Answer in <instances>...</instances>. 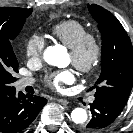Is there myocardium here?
<instances>
[{
	"label": "myocardium",
	"instance_id": "myocardium-1",
	"mask_svg": "<svg viewBox=\"0 0 133 133\" xmlns=\"http://www.w3.org/2000/svg\"><path fill=\"white\" fill-rule=\"evenodd\" d=\"M69 49L73 57L72 63L74 67L82 73L94 72L101 62L102 45L99 36L94 32L83 34ZM88 49L91 52L87 56Z\"/></svg>",
	"mask_w": 133,
	"mask_h": 133
}]
</instances>
